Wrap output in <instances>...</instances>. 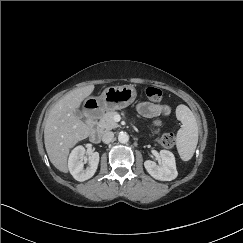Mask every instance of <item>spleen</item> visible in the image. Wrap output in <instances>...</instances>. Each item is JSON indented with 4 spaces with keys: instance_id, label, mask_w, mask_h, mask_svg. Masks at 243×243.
I'll list each match as a JSON object with an SVG mask.
<instances>
[{
    "instance_id": "3e777b00",
    "label": "spleen",
    "mask_w": 243,
    "mask_h": 243,
    "mask_svg": "<svg viewBox=\"0 0 243 243\" xmlns=\"http://www.w3.org/2000/svg\"><path fill=\"white\" fill-rule=\"evenodd\" d=\"M176 117L181 122V128L177 132L176 147L183 161L193 157L198 143V126L192 111L186 105H178Z\"/></svg>"
}]
</instances>
